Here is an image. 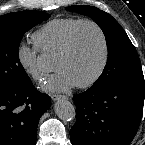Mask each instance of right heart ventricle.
I'll use <instances>...</instances> for the list:
<instances>
[{
    "instance_id": "e07e8e85",
    "label": "right heart ventricle",
    "mask_w": 145,
    "mask_h": 145,
    "mask_svg": "<svg viewBox=\"0 0 145 145\" xmlns=\"http://www.w3.org/2000/svg\"><path fill=\"white\" fill-rule=\"evenodd\" d=\"M80 20L82 19L75 17L54 18L32 34V41L43 54L56 56Z\"/></svg>"
}]
</instances>
